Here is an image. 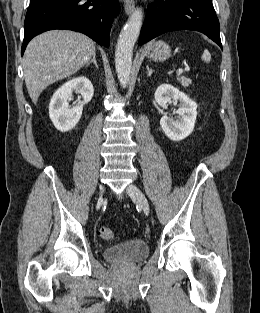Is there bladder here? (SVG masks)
I'll list each match as a JSON object with an SVG mask.
<instances>
[{
  "label": "bladder",
  "mask_w": 260,
  "mask_h": 313,
  "mask_svg": "<svg viewBox=\"0 0 260 313\" xmlns=\"http://www.w3.org/2000/svg\"><path fill=\"white\" fill-rule=\"evenodd\" d=\"M149 254V246L142 239H129L124 242L106 248L102 256L111 262H135L144 259Z\"/></svg>",
  "instance_id": "bladder-1"
}]
</instances>
